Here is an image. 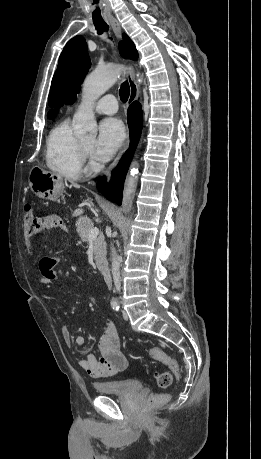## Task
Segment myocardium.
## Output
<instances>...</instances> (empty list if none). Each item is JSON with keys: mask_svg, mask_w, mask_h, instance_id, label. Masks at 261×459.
Instances as JSON below:
<instances>
[{"mask_svg": "<svg viewBox=\"0 0 261 459\" xmlns=\"http://www.w3.org/2000/svg\"><path fill=\"white\" fill-rule=\"evenodd\" d=\"M80 150L83 156L89 153V149H87L82 143H80Z\"/></svg>", "mask_w": 261, "mask_h": 459, "instance_id": "obj_1", "label": "myocardium"}]
</instances>
